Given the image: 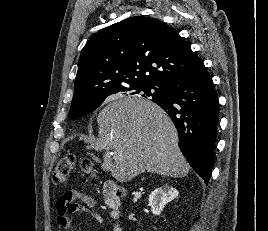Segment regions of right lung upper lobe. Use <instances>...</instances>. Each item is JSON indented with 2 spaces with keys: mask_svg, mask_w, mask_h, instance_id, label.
Here are the masks:
<instances>
[{
  "mask_svg": "<svg viewBox=\"0 0 268 231\" xmlns=\"http://www.w3.org/2000/svg\"><path fill=\"white\" fill-rule=\"evenodd\" d=\"M203 65L164 22L131 17L100 30L86 43L78 61L72 103L92 104L126 87H162Z\"/></svg>",
  "mask_w": 268,
  "mask_h": 231,
  "instance_id": "obj_1",
  "label": "right lung upper lobe"
}]
</instances>
